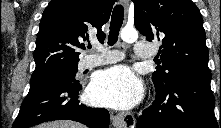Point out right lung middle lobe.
Instances as JSON below:
<instances>
[{
    "mask_svg": "<svg viewBox=\"0 0 221 128\" xmlns=\"http://www.w3.org/2000/svg\"><path fill=\"white\" fill-rule=\"evenodd\" d=\"M77 73V65H72L69 67H65L59 70H56L54 72H51L49 74L46 75H37V76H32L31 77V85L47 80L49 78H61V79H68V80H73L76 81L77 83H79V81H77L75 79V75Z\"/></svg>",
    "mask_w": 221,
    "mask_h": 128,
    "instance_id": "right-lung-middle-lobe-1",
    "label": "right lung middle lobe"
}]
</instances>
